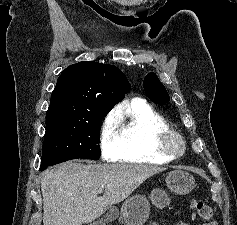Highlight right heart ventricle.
<instances>
[{
  "label": "right heart ventricle",
  "instance_id": "e07e8e85",
  "mask_svg": "<svg viewBox=\"0 0 237 225\" xmlns=\"http://www.w3.org/2000/svg\"><path fill=\"white\" fill-rule=\"evenodd\" d=\"M120 149L115 161L137 164H163L174 158L162 155L156 147V135L170 130L166 119L146 101L134 99L126 119L118 124Z\"/></svg>",
  "mask_w": 237,
  "mask_h": 225
}]
</instances>
